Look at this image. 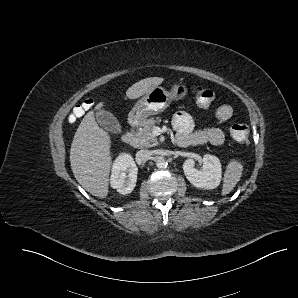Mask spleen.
<instances>
[{
    "instance_id": "1",
    "label": "spleen",
    "mask_w": 298,
    "mask_h": 298,
    "mask_svg": "<svg viewBox=\"0 0 298 298\" xmlns=\"http://www.w3.org/2000/svg\"><path fill=\"white\" fill-rule=\"evenodd\" d=\"M243 171V165L236 161L231 160L226 166V170L223 178L222 195L229 194L236 184L239 182Z\"/></svg>"
}]
</instances>
